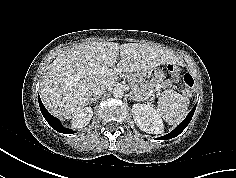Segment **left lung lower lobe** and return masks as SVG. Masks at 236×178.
Segmentation results:
<instances>
[{"instance_id": "obj_1", "label": "left lung lower lobe", "mask_w": 236, "mask_h": 178, "mask_svg": "<svg viewBox=\"0 0 236 178\" xmlns=\"http://www.w3.org/2000/svg\"><path fill=\"white\" fill-rule=\"evenodd\" d=\"M195 109H196V106L190 111V113L187 115V117L173 131H171L169 134H167L165 136L160 137L159 139L160 140H167V139H171V138L178 136L191 121L192 116L195 112Z\"/></svg>"}]
</instances>
